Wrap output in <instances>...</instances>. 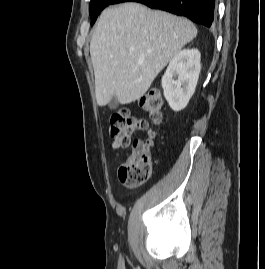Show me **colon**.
Here are the masks:
<instances>
[{
  "label": "colon",
  "mask_w": 265,
  "mask_h": 269,
  "mask_svg": "<svg viewBox=\"0 0 265 269\" xmlns=\"http://www.w3.org/2000/svg\"><path fill=\"white\" fill-rule=\"evenodd\" d=\"M140 107L149 114L155 124L162 119L163 99L162 96L151 90L142 96ZM111 136L117 140L119 148L125 149L130 146L131 134L145 129V122L130 115L129 111L122 109L114 112L109 117ZM154 131H150L153 137ZM151 140L146 142L136 140L132 144L131 154L124 165L119 169L120 181L129 187L137 186L150 180L152 175Z\"/></svg>",
  "instance_id": "obj_1"
}]
</instances>
